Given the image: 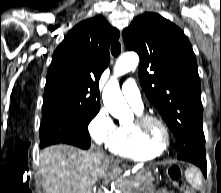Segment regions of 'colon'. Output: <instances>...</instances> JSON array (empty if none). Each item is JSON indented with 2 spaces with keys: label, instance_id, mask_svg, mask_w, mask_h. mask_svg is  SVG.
Returning <instances> with one entry per match:
<instances>
[{
  "label": "colon",
  "instance_id": "obj_1",
  "mask_svg": "<svg viewBox=\"0 0 221 193\" xmlns=\"http://www.w3.org/2000/svg\"><path fill=\"white\" fill-rule=\"evenodd\" d=\"M169 178L172 185L182 191L183 193H195L193 190L189 189L184 181L183 178V171L182 168L178 165H174L171 167L169 171Z\"/></svg>",
  "mask_w": 221,
  "mask_h": 193
}]
</instances>
